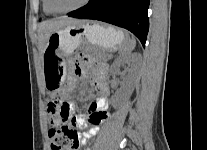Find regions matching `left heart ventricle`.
<instances>
[{
  "mask_svg": "<svg viewBox=\"0 0 207 150\" xmlns=\"http://www.w3.org/2000/svg\"><path fill=\"white\" fill-rule=\"evenodd\" d=\"M83 0H53L54 6L59 10H67L80 4Z\"/></svg>",
  "mask_w": 207,
  "mask_h": 150,
  "instance_id": "b2bd125f",
  "label": "left heart ventricle"
}]
</instances>
